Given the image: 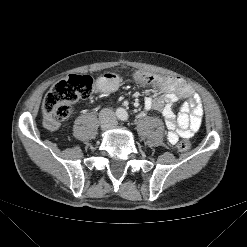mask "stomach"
Returning <instances> with one entry per match:
<instances>
[{
    "mask_svg": "<svg viewBox=\"0 0 247 247\" xmlns=\"http://www.w3.org/2000/svg\"><path fill=\"white\" fill-rule=\"evenodd\" d=\"M120 83V77L111 72L104 73L99 79V86L105 91H113L118 88Z\"/></svg>",
    "mask_w": 247,
    "mask_h": 247,
    "instance_id": "1",
    "label": "stomach"
}]
</instances>
